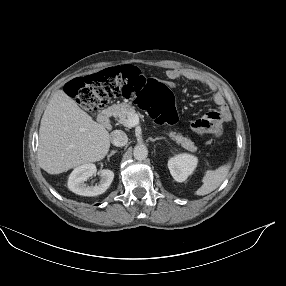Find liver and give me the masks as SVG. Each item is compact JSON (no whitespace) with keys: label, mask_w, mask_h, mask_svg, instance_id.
Returning <instances> with one entry per match:
<instances>
[{"label":"liver","mask_w":286,"mask_h":286,"mask_svg":"<svg viewBox=\"0 0 286 286\" xmlns=\"http://www.w3.org/2000/svg\"><path fill=\"white\" fill-rule=\"evenodd\" d=\"M111 136L63 90L54 93L41 119L37 157L49 174L102 160Z\"/></svg>","instance_id":"obj_1"}]
</instances>
